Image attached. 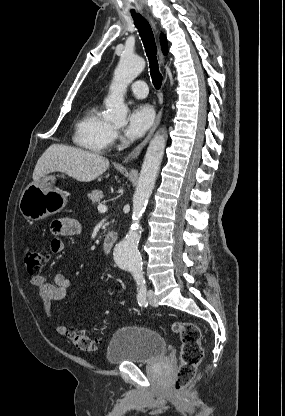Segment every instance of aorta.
<instances>
[{"mask_svg": "<svg viewBox=\"0 0 285 416\" xmlns=\"http://www.w3.org/2000/svg\"><path fill=\"white\" fill-rule=\"evenodd\" d=\"M145 61L137 55H124L114 71V77L105 99V119L114 124H125L128 108L124 95L128 85L143 71ZM167 135L158 131L149 143L142 164L138 184L133 196L132 223L126 237L114 248V259L121 269L128 270L134 277L143 275L142 257L138 250L140 220L145 211L158 176L164 155Z\"/></svg>", "mask_w": 285, "mask_h": 416, "instance_id": "aorta-1", "label": "aorta"}]
</instances>
